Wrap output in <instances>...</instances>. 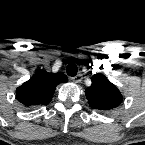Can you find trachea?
Listing matches in <instances>:
<instances>
[{
  "instance_id": "1",
  "label": "trachea",
  "mask_w": 145,
  "mask_h": 145,
  "mask_svg": "<svg viewBox=\"0 0 145 145\" xmlns=\"http://www.w3.org/2000/svg\"><path fill=\"white\" fill-rule=\"evenodd\" d=\"M66 71H67V74H68L69 76H72V77L76 76V75H77V72H78L77 65H76L75 63H73V62H70V63L67 65Z\"/></svg>"
}]
</instances>
